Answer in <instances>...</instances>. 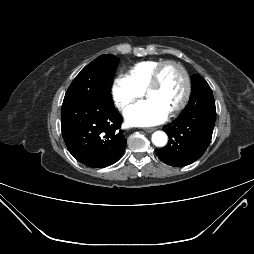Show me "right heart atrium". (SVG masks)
Returning <instances> with one entry per match:
<instances>
[{"label":"right heart atrium","instance_id":"right-heart-atrium-1","mask_svg":"<svg viewBox=\"0 0 254 254\" xmlns=\"http://www.w3.org/2000/svg\"><path fill=\"white\" fill-rule=\"evenodd\" d=\"M141 91L127 75H118L112 84V97L119 109L142 97Z\"/></svg>","mask_w":254,"mask_h":254}]
</instances>
